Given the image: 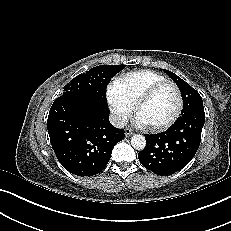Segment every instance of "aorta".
I'll use <instances>...</instances> for the list:
<instances>
[{"mask_svg": "<svg viewBox=\"0 0 231 231\" xmlns=\"http://www.w3.org/2000/svg\"><path fill=\"white\" fill-rule=\"evenodd\" d=\"M131 145L138 150H141L145 147L146 145V140L143 135L140 134H133L131 137Z\"/></svg>", "mask_w": 231, "mask_h": 231, "instance_id": "762f6f07", "label": "aorta"}]
</instances>
